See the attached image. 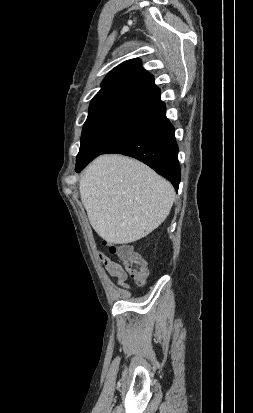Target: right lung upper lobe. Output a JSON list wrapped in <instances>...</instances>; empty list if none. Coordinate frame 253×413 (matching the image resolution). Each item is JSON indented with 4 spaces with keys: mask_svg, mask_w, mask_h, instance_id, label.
Instances as JSON below:
<instances>
[{
    "mask_svg": "<svg viewBox=\"0 0 253 413\" xmlns=\"http://www.w3.org/2000/svg\"><path fill=\"white\" fill-rule=\"evenodd\" d=\"M165 108L154 78L141 67V61L131 59L114 68L102 82L101 90L90 103L88 118L126 113L151 117Z\"/></svg>",
    "mask_w": 253,
    "mask_h": 413,
    "instance_id": "right-lung-upper-lobe-1",
    "label": "right lung upper lobe"
}]
</instances>
